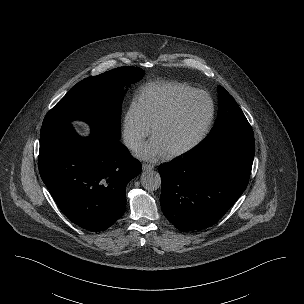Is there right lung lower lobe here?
Segmentation results:
<instances>
[{
	"mask_svg": "<svg viewBox=\"0 0 304 304\" xmlns=\"http://www.w3.org/2000/svg\"><path fill=\"white\" fill-rule=\"evenodd\" d=\"M141 164L99 127L82 138L71 124L41 129L39 172L61 211L76 225L101 231L126 208V185Z\"/></svg>",
	"mask_w": 304,
	"mask_h": 304,
	"instance_id": "obj_1",
	"label": "right lung lower lobe"
}]
</instances>
